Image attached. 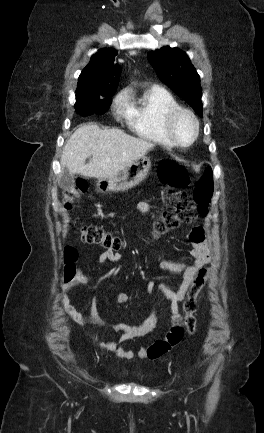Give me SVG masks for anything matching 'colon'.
<instances>
[{"label":"colon","mask_w":264,"mask_h":433,"mask_svg":"<svg viewBox=\"0 0 264 433\" xmlns=\"http://www.w3.org/2000/svg\"><path fill=\"white\" fill-rule=\"evenodd\" d=\"M159 179L170 189L174 209L163 212L155 220L154 238L181 225L193 222L198 214L206 215L208 213L214 188L212 169L209 166L204 168L197 179L192 194L181 191L190 184L191 179L188 170L174 161H164L160 164ZM86 188L87 183L84 180H79L75 186L68 189L64 195L65 207H72L73 202L85 192ZM79 232L83 243L98 245L105 250L118 252L125 245L118 236L98 226H83ZM64 256L65 275L67 277L73 276L77 258L76 250L72 247H66ZM210 272L209 266L201 268L187 291L183 309L185 329L188 334H193L195 331L196 319L194 314L197 310V297L209 279Z\"/></svg>","instance_id":"colon-1"}]
</instances>
